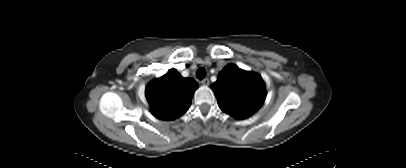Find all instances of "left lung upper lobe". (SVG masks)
Listing matches in <instances>:
<instances>
[{"mask_svg": "<svg viewBox=\"0 0 406 168\" xmlns=\"http://www.w3.org/2000/svg\"><path fill=\"white\" fill-rule=\"evenodd\" d=\"M221 110L238 119L254 114L264 103L265 84L260 75L228 64L212 84Z\"/></svg>", "mask_w": 406, "mask_h": 168, "instance_id": "left-lung-upper-lobe-1", "label": "left lung upper lobe"}]
</instances>
